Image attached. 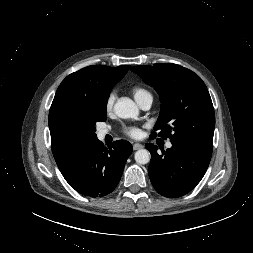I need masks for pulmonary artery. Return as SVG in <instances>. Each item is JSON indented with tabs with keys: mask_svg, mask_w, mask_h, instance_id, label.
Instances as JSON below:
<instances>
[{
	"mask_svg": "<svg viewBox=\"0 0 253 253\" xmlns=\"http://www.w3.org/2000/svg\"><path fill=\"white\" fill-rule=\"evenodd\" d=\"M152 101H153V99H152V97H145L142 101H140L138 104H139V106L143 109V110H148L150 107H151V105H152ZM108 134V131L107 130H100L99 132H98V137L100 138V139H102V138H104L106 135ZM166 147L167 148H171L172 147V144L170 143V142H168L167 144H166Z\"/></svg>",
	"mask_w": 253,
	"mask_h": 253,
	"instance_id": "1",
	"label": "pulmonary artery"
}]
</instances>
